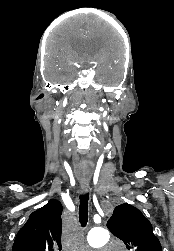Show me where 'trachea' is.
Instances as JSON below:
<instances>
[{
	"label": "trachea",
	"mask_w": 174,
	"mask_h": 251,
	"mask_svg": "<svg viewBox=\"0 0 174 251\" xmlns=\"http://www.w3.org/2000/svg\"><path fill=\"white\" fill-rule=\"evenodd\" d=\"M80 205H79V221L82 227H85L88 221V201L89 194L80 195Z\"/></svg>",
	"instance_id": "3493384b"
}]
</instances>
